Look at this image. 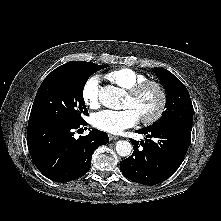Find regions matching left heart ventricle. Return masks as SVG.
<instances>
[{
  "instance_id": "left-heart-ventricle-1",
  "label": "left heart ventricle",
  "mask_w": 221,
  "mask_h": 221,
  "mask_svg": "<svg viewBox=\"0 0 221 221\" xmlns=\"http://www.w3.org/2000/svg\"><path fill=\"white\" fill-rule=\"evenodd\" d=\"M158 103V92L154 88H149L136 99L127 96L124 107L133 108L138 113L139 117H143L154 113Z\"/></svg>"
}]
</instances>
